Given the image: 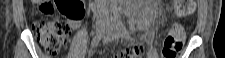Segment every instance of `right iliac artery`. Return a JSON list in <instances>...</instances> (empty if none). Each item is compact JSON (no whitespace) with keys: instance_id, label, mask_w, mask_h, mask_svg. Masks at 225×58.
<instances>
[{"instance_id":"1","label":"right iliac artery","mask_w":225,"mask_h":58,"mask_svg":"<svg viewBox=\"0 0 225 58\" xmlns=\"http://www.w3.org/2000/svg\"><path fill=\"white\" fill-rule=\"evenodd\" d=\"M102 36H95L91 42L90 55L93 53L94 48L98 46Z\"/></svg>"}]
</instances>
